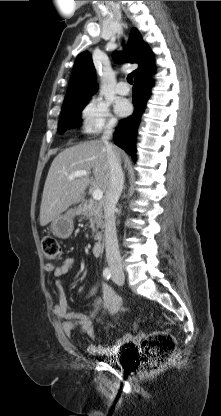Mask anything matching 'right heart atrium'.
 <instances>
[{
	"mask_svg": "<svg viewBox=\"0 0 221 416\" xmlns=\"http://www.w3.org/2000/svg\"><path fill=\"white\" fill-rule=\"evenodd\" d=\"M82 129L87 134H98L115 128L117 121L110 112L108 103L92 97L81 111Z\"/></svg>",
	"mask_w": 221,
	"mask_h": 416,
	"instance_id": "obj_1",
	"label": "right heart atrium"
}]
</instances>
